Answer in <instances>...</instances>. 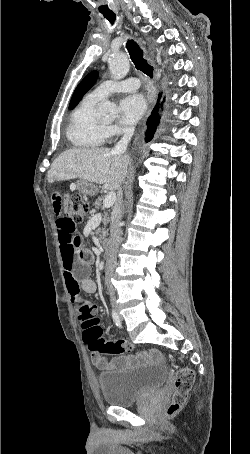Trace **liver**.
<instances>
[{
	"instance_id": "obj_1",
	"label": "liver",
	"mask_w": 250,
	"mask_h": 454,
	"mask_svg": "<svg viewBox=\"0 0 250 454\" xmlns=\"http://www.w3.org/2000/svg\"><path fill=\"white\" fill-rule=\"evenodd\" d=\"M128 163L127 156L114 154L108 148L69 149L53 161L47 180L53 183L78 178L119 191Z\"/></svg>"
}]
</instances>
